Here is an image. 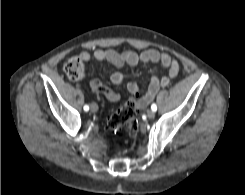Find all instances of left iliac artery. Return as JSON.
<instances>
[{"mask_svg":"<svg viewBox=\"0 0 245 195\" xmlns=\"http://www.w3.org/2000/svg\"><path fill=\"white\" fill-rule=\"evenodd\" d=\"M151 109H152L154 112L157 110V106H156L155 103H153V104L151 105Z\"/></svg>","mask_w":245,"mask_h":195,"instance_id":"left-iliac-artery-1","label":"left iliac artery"}]
</instances>
